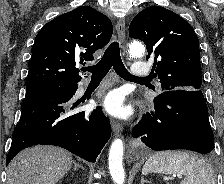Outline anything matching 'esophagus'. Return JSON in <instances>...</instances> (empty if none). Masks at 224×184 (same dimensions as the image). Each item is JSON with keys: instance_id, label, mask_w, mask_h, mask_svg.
<instances>
[{"instance_id": "obj_1", "label": "esophagus", "mask_w": 224, "mask_h": 184, "mask_svg": "<svg viewBox=\"0 0 224 184\" xmlns=\"http://www.w3.org/2000/svg\"><path fill=\"white\" fill-rule=\"evenodd\" d=\"M116 32H117V39L119 40L120 43H123L125 40V20H124V18H120L117 21ZM111 126H112L113 131L116 134H119L123 129L121 123H119L118 121H115L113 119L111 120Z\"/></svg>"}]
</instances>
